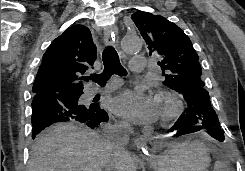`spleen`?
Returning <instances> with one entry per match:
<instances>
[{
	"label": "spleen",
	"mask_w": 245,
	"mask_h": 171,
	"mask_svg": "<svg viewBox=\"0 0 245 171\" xmlns=\"http://www.w3.org/2000/svg\"><path fill=\"white\" fill-rule=\"evenodd\" d=\"M213 171H229L228 167L222 161H216Z\"/></svg>",
	"instance_id": "3e777b00"
}]
</instances>
